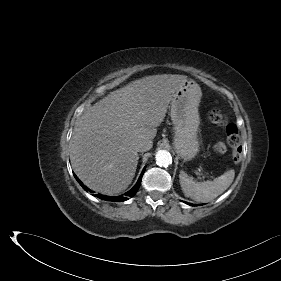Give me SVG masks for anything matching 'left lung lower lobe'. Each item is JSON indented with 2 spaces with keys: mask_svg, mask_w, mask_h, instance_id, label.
Segmentation results:
<instances>
[{
  "mask_svg": "<svg viewBox=\"0 0 281 281\" xmlns=\"http://www.w3.org/2000/svg\"><path fill=\"white\" fill-rule=\"evenodd\" d=\"M187 204H189V205H193V204H191V203H187Z\"/></svg>",
  "mask_w": 281,
  "mask_h": 281,
  "instance_id": "0a47b994",
  "label": "left lung lower lobe"
}]
</instances>
